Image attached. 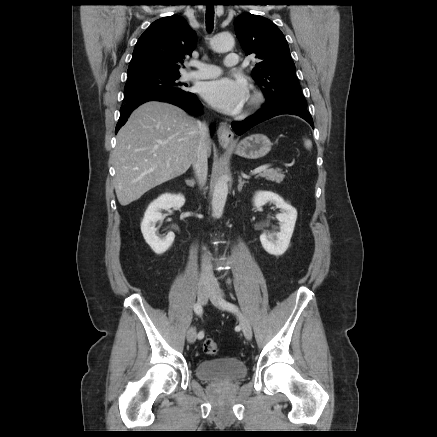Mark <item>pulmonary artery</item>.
Returning <instances> with one entry per match:
<instances>
[{"label": "pulmonary artery", "instance_id": "e3ab8cb5", "mask_svg": "<svg viewBox=\"0 0 437 437\" xmlns=\"http://www.w3.org/2000/svg\"><path fill=\"white\" fill-rule=\"evenodd\" d=\"M224 64L227 67H236L239 64V56L236 53H228ZM193 65L196 69L187 74L189 79H210L221 74L220 68L213 64L197 62Z\"/></svg>", "mask_w": 437, "mask_h": 437}]
</instances>
